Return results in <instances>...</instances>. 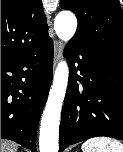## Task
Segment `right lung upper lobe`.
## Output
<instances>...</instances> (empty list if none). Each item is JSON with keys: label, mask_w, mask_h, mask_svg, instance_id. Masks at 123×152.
<instances>
[{"label": "right lung upper lobe", "mask_w": 123, "mask_h": 152, "mask_svg": "<svg viewBox=\"0 0 123 152\" xmlns=\"http://www.w3.org/2000/svg\"><path fill=\"white\" fill-rule=\"evenodd\" d=\"M47 36L40 0H1V59L30 52Z\"/></svg>", "instance_id": "right-lung-upper-lobe-1"}]
</instances>
